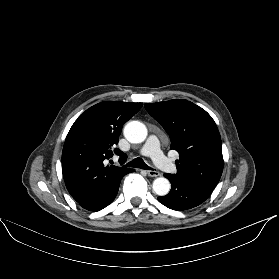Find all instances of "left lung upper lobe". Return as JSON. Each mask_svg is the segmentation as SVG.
I'll use <instances>...</instances> for the list:
<instances>
[{
  "mask_svg": "<svg viewBox=\"0 0 279 279\" xmlns=\"http://www.w3.org/2000/svg\"><path fill=\"white\" fill-rule=\"evenodd\" d=\"M171 139V149L179 153L177 179L212 193L223 171L222 143L212 117L187 100L145 104Z\"/></svg>",
  "mask_w": 279,
  "mask_h": 279,
  "instance_id": "5c2ea615",
  "label": "left lung upper lobe"
}]
</instances>
